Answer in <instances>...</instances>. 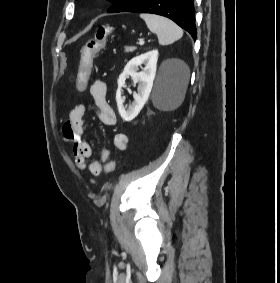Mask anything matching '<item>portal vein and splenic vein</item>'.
I'll return each instance as SVG.
<instances>
[{"mask_svg": "<svg viewBox=\"0 0 280 283\" xmlns=\"http://www.w3.org/2000/svg\"><path fill=\"white\" fill-rule=\"evenodd\" d=\"M139 45H143L144 44V39H140L138 42Z\"/></svg>", "mask_w": 280, "mask_h": 283, "instance_id": "portal-vein-and-splenic-vein-1", "label": "portal vein and splenic vein"}]
</instances>
